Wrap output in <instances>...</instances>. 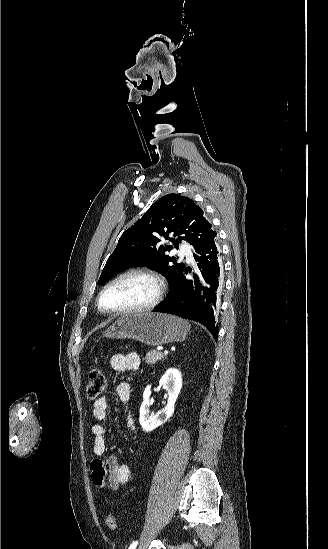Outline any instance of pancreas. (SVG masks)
<instances>
[{
	"instance_id": "1",
	"label": "pancreas",
	"mask_w": 328,
	"mask_h": 549,
	"mask_svg": "<svg viewBox=\"0 0 328 549\" xmlns=\"http://www.w3.org/2000/svg\"><path fill=\"white\" fill-rule=\"evenodd\" d=\"M162 359H165V355H163V353H156V351H149L147 357H145V361L148 365H154L156 361H162Z\"/></svg>"
}]
</instances>
